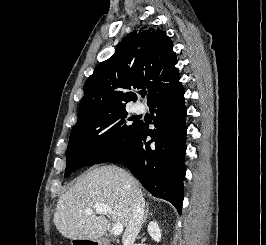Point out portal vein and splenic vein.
Here are the masks:
<instances>
[{"label": "portal vein and splenic vein", "mask_w": 266, "mask_h": 245, "mask_svg": "<svg viewBox=\"0 0 266 245\" xmlns=\"http://www.w3.org/2000/svg\"><path fill=\"white\" fill-rule=\"evenodd\" d=\"M96 213H105V215H112L113 213V209H111V207H108V205H95L94 207ZM85 213H92L91 209H87V211H85ZM123 231V225H121V223H118V225H114L113 229H112V233L113 235H115V237H117V235H121Z\"/></svg>", "instance_id": "portal-vein-and-splenic-vein-1"}]
</instances>
